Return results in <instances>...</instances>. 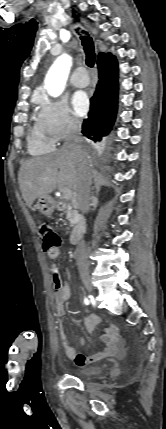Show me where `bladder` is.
Wrapping results in <instances>:
<instances>
[{
	"label": "bladder",
	"mask_w": 166,
	"mask_h": 429,
	"mask_svg": "<svg viewBox=\"0 0 166 429\" xmlns=\"http://www.w3.org/2000/svg\"><path fill=\"white\" fill-rule=\"evenodd\" d=\"M105 370V366L89 367L75 372L74 376L80 379L97 377L101 375Z\"/></svg>",
	"instance_id": "obj_1"
}]
</instances>
